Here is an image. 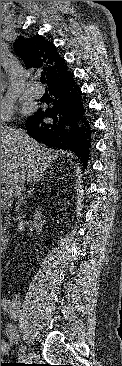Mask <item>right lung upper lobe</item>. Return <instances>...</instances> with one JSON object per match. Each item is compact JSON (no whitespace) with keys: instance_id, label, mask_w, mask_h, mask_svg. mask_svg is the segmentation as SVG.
<instances>
[{"instance_id":"right-lung-upper-lobe-1","label":"right lung upper lobe","mask_w":122,"mask_h":366,"mask_svg":"<svg viewBox=\"0 0 122 366\" xmlns=\"http://www.w3.org/2000/svg\"><path fill=\"white\" fill-rule=\"evenodd\" d=\"M14 45L16 53L24 60L27 68L44 71L49 86L64 82L70 77L71 72L65 59L59 55L55 45L42 36L18 38Z\"/></svg>"}]
</instances>
